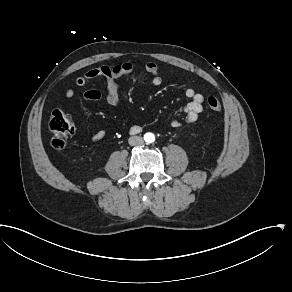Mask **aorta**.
I'll return each mask as SVG.
<instances>
[{
    "instance_id": "obj_1",
    "label": "aorta",
    "mask_w": 292,
    "mask_h": 292,
    "mask_svg": "<svg viewBox=\"0 0 292 292\" xmlns=\"http://www.w3.org/2000/svg\"><path fill=\"white\" fill-rule=\"evenodd\" d=\"M145 140H146V142H148V143H152V142H154V140H155V136H154V134H152V133H147V134L145 135Z\"/></svg>"
}]
</instances>
